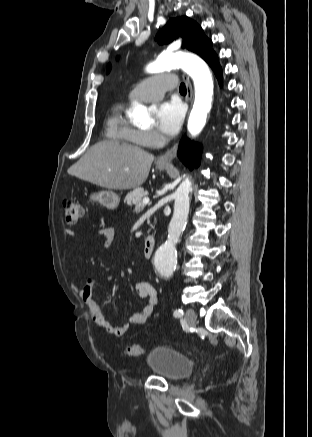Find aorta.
<instances>
[{
    "mask_svg": "<svg viewBox=\"0 0 312 437\" xmlns=\"http://www.w3.org/2000/svg\"><path fill=\"white\" fill-rule=\"evenodd\" d=\"M178 67L190 75L194 82L195 100L187 128L192 136H196L205 126L212 104L213 81L207 64L201 58L188 53H162L155 62L148 65L146 70L148 73H159ZM131 116L141 123L149 121L147 108L140 104L135 105ZM191 189V181L186 178L175 192L174 212L168 227V240L158 249L155 257V267L162 276L171 275L176 268L175 245L187 223Z\"/></svg>",
    "mask_w": 312,
    "mask_h": 437,
    "instance_id": "obj_1",
    "label": "aorta"
}]
</instances>
